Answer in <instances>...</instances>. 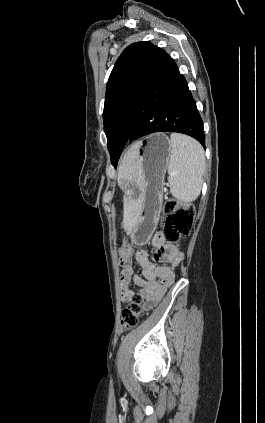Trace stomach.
<instances>
[{"instance_id":"stomach-1","label":"stomach","mask_w":265,"mask_h":423,"mask_svg":"<svg viewBox=\"0 0 265 423\" xmlns=\"http://www.w3.org/2000/svg\"><path fill=\"white\" fill-rule=\"evenodd\" d=\"M136 162L141 170V182L135 183L141 205L137 222L131 231L135 245L146 244L155 231L163 204L164 176L169 164L172 143L167 135L155 133L138 143Z\"/></svg>"}]
</instances>
